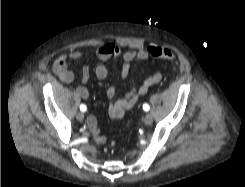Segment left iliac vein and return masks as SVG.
Masks as SVG:
<instances>
[{
    "label": "left iliac vein",
    "mask_w": 245,
    "mask_h": 187,
    "mask_svg": "<svg viewBox=\"0 0 245 187\" xmlns=\"http://www.w3.org/2000/svg\"><path fill=\"white\" fill-rule=\"evenodd\" d=\"M152 121H153L152 115H151L150 113H147V114L145 115V117H144V123H145L146 125H150V124L152 123Z\"/></svg>",
    "instance_id": "left-iliac-vein-1"
}]
</instances>
